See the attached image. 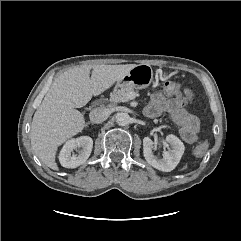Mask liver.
Masks as SVG:
<instances>
[{
    "mask_svg": "<svg viewBox=\"0 0 241 241\" xmlns=\"http://www.w3.org/2000/svg\"><path fill=\"white\" fill-rule=\"evenodd\" d=\"M135 66L81 65L54 80L34 114L30 133L32 149L47 167L59 169L55 161L58 147L85 127V118L76 108L109 89Z\"/></svg>",
    "mask_w": 241,
    "mask_h": 241,
    "instance_id": "6515ba94",
    "label": "liver"
}]
</instances>
